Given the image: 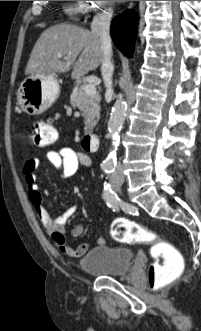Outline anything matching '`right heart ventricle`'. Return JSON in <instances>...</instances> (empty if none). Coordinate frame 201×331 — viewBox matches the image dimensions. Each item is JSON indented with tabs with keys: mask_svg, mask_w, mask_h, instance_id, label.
Wrapping results in <instances>:
<instances>
[{
	"mask_svg": "<svg viewBox=\"0 0 201 331\" xmlns=\"http://www.w3.org/2000/svg\"><path fill=\"white\" fill-rule=\"evenodd\" d=\"M79 10H80V8H79V3L78 2L69 4L67 9H66V11L72 16H75Z\"/></svg>",
	"mask_w": 201,
	"mask_h": 331,
	"instance_id": "1",
	"label": "right heart ventricle"
}]
</instances>
